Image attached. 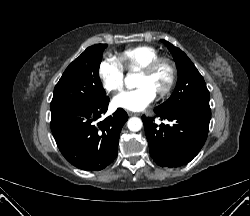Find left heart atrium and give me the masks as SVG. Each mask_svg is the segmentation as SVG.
<instances>
[{"label":"left heart atrium","mask_w":250,"mask_h":216,"mask_svg":"<svg viewBox=\"0 0 250 216\" xmlns=\"http://www.w3.org/2000/svg\"><path fill=\"white\" fill-rule=\"evenodd\" d=\"M154 98L153 92L147 86H141L135 90L123 92L115 98L118 107L129 110H140L146 107Z\"/></svg>","instance_id":"left-heart-atrium-1"}]
</instances>
